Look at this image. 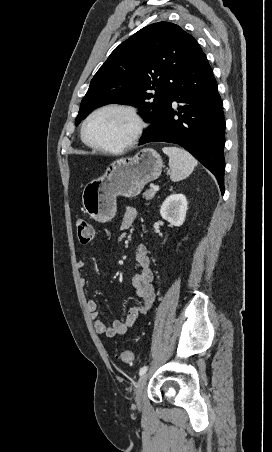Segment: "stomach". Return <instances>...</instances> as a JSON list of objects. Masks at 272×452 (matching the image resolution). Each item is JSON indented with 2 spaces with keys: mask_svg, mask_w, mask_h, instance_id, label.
<instances>
[{
  "mask_svg": "<svg viewBox=\"0 0 272 452\" xmlns=\"http://www.w3.org/2000/svg\"><path fill=\"white\" fill-rule=\"evenodd\" d=\"M162 166L161 156L151 148L115 160L103 176L84 187L82 204L86 213L100 223L111 221L117 211L116 198L140 194L148 182L160 176Z\"/></svg>",
  "mask_w": 272,
  "mask_h": 452,
  "instance_id": "stomach-1",
  "label": "stomach"
}]
</instances>
